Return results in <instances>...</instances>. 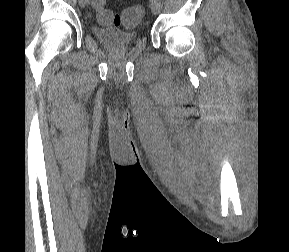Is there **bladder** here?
Segmentation results:
<instances>
[{
  "label": "bladder",
  "instance_id": "bladder-1",
  "mask_svg": "<svg viewBox=\"0 0 289 252\" xmlns=\"http://www.w3.org/2000/svg\"><path fill=\"white\" fill-rule=\"evenodd\" d=\"M96 38L109 47H123L134 43L138 39L137 31H122L111 27L94 26Z\"/></svg>",
  "mask_w": 289,
  "mask_h": 252
}]
</instances>
